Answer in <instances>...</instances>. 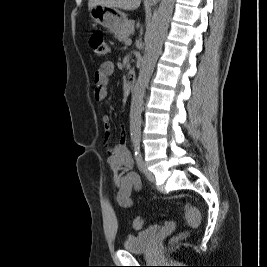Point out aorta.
<instances>
[{
  "label": "aorta",
  "mask_w": 267,
  "mask_h": 267,
  "mask_svg": "<svg viewBox=\"0 0 267 267\" xmlns=\"http://www.w3.org/2000/svg\"><path fill=\"white\" fill-rule=\"evenodd\" d=\"M174 4L175 0H161L157 15L146 39V51L143 56L130 106V132L133 141H139L141 137L143 98L162 50L163 42L173 13Z\"/></svg>",
  "instance_id": "762f6f07"
}]
</instances>
